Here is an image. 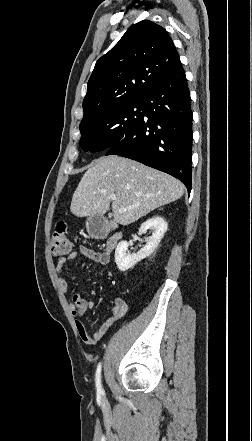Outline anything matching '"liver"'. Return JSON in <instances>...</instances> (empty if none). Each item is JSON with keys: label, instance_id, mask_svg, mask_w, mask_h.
Returning a JSON list of instances; mask_svg holds the SVG:
<instances>
[{"label": "liver", "instance_id": "liver-1", "mask_svg": "<svg viewBox=\"0 0 252 441\" xmlns=\"http://www.w3.org/2000/svg\"><path fill=\"white\" fill-rule=\"evenodd\" d=\"M178 179L137 161L115 155L95 160L71 201L77 217L104 215L112 202L114 221L129 225L184 194ZM115 195L116 200L111 196ZM127 208L121 211V208Z\"/></svg>", "mask_w": 252, "mask_h": 441}]
</instances>
